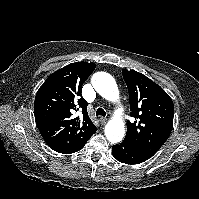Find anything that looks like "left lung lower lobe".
<instances>
[{
	"label": "left lung lower lobe",
	"mask_w": 199,
	"mask_h": 199,
	"mask_svg": "<svg viewBox=\"0 0 199 199\" xmlns=\"http://www.w3.org/2000/svg\"><path fill=\"white\" fill-rule=\"evenodd\" d=\"M112 153L118 161L128 165L142 163L153 156L125 140L118 145H113Z\"/></svg>",
	"instance_id": "0a47b994"
}]
</instances>
